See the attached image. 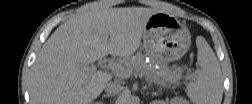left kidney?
Segmentation results:
<instances>
[{"instance_id": "obj_1", "label": "left kidney", "mask_w": 252, "mask_h": 104, "mask_svg": "<svg viewBox=\"0 0 252 104\" xmlns=\"http://www.w3.org/2000/svg\"><path fill=\"white\" fill-rule=\"evenodd\" d=\"M172 102L173 103H180V104H185L186 103V101L183 98H178V97L172 99Z\"/></svg>"}]
</instances>
